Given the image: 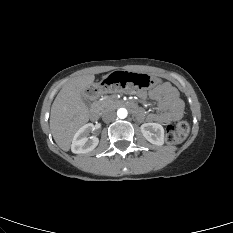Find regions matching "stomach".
<instances>
[{
	"instance_id": "0dacf381",
	"label": "stomach",
	"mask_w": 233,
	"mask_h": 233,
	"mask_svg": "<svg viewBox=\"0 0 233 233\" xmlns=\"http://www.w3.org/2000/svg\"><path fill=\"white\" fill-rule=\"evenodd\" d=\"M158 83L159 79L148 73L116 71L101 81L100 90L104 94H111L119 88L148 89Z\"/></svg>"
}]
</instances>
